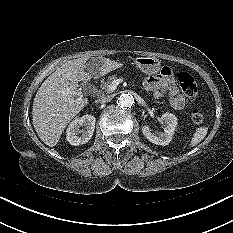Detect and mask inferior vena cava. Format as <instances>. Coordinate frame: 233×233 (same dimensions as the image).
<instances>
[{
  "instance_id": "obj_1",
  "label": "inferior vena cava",
  "mask_w": 233,
  "mask_h": 233,
  "mask_svg": "<svg viewBox=\"0 0 233 233\" xmlns=\"http://www.w3.org/2000/svg\"><path fill=\"white\" fill-rule=\"evenodd\" d=\"M111 100L110 97H106V96H100L95 102L97 104H103V103H107Z\"/></svg>"
}]
</instances>
